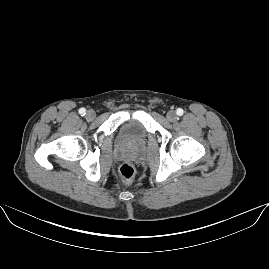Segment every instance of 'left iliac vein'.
Returning <instances> with one entry per match:
<instances>
[{
  "label": "left iliac vein",
  "mask_w": 269,
  "mask_h": 269,
  "mask_svg": "<svg viewBox=\"0 0 269 269\" xmlns=\"http://www.w3.org/2000/svg\"><path fill=\"white\" fill-rule=\"evenodd\" d=\"M167 119L170 121V122H174L177 120V115H176V112L175 111H172L170 110L167 115H166Z\"/></svg>",
  "instance_id": "left-iliac-vein-1"
}]
</instances>
